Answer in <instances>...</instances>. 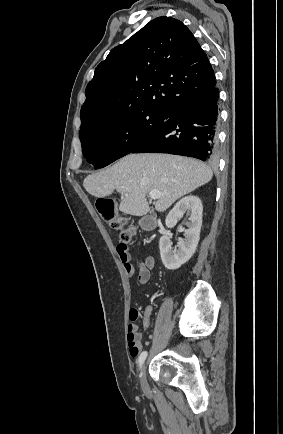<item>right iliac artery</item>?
<instances>
[{
    "label": "right iliac artery",
    "instance_id": "1",
    "mask_svg": "<svg viewBox=\"0 0 283 434\" xmlns=\"http://www.w3.org/2000/svg\"><path fill=\"white\" fill-rule=\"evenodd\" d=\"M146 357H147V352H146V351H143V352L140 354L139 359H138L140 368L142 367V365H143V363H144Z\"/></svg>",
    "mask_w": 283,
    "mask_h": 434
}]
</instances>
